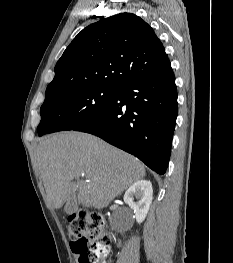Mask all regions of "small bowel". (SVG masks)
I'll list each match as a JSON object with an SVG mask.
<instances>
[{"label":"small bowel","mask_w":233,"mask_h":263,"mask_svg":"<svg viewBox=\"0 0 233 263\" xmlns=\"http://www.w3.org/2000/svg\"><path fill=\"white\" fill-rule=\"evenodd\" d=\"M109 251H110V248L108 247V248L106 249V255L109 253ZM104 263H106V262H104Z\"/></svg>","instance_id":"small-bowel-1"}]
</instances>
